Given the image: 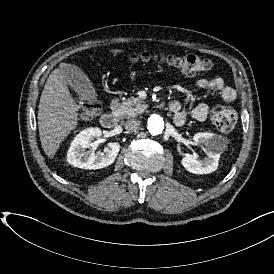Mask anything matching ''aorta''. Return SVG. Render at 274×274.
Returning a JSON list of instances; mask_svg holds the SVG:
<instances>
[{"mask_svg":"<svg viewBox=\"0 0 274 274\" xmlns=\"http://www.w3.org/2000/svg\"><path fill=\"white\" fill-rule=\"evenodd\" d=\"M165 127L164 119L158 114H152L147 121V129L152 135H159Z\"/></svg>","mask_w":274,"mask_h":274,"instance_id":"obj_1","label":"aorta"}]
</instances>
